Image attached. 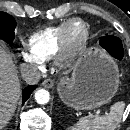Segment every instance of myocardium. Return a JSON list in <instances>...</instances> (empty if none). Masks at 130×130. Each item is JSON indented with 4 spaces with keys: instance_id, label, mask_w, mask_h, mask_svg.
<instances>
[{
    "instance_id": "obj_1",
    "label": "myocardium",
    "mask_w": 130,
    "mask_h": 130,
    "mask_svg": "<svg viewBox=\"0 0 130 130\" xmlns=\"http://www.w3.org/2000/svg\"><path fill=\"white\" fill-rule=\"evenodd\" d=\"M80 25L82 28V37L75 41L72 38V29L75 25ZM89 39L88 25L81 19H71L62 34L60 48L57 52L56 63L60 68L69 67L75 59L85 50Z\"/></svg>"
}]
</instances>
